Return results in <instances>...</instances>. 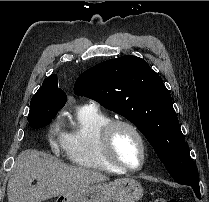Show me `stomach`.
I'll return each mask as SVG.
<instances>
[{
	"instance_id": "stomach-1",
	"label": "stomach",
	"mask_w": 209,
	"mask_h": 202,
	"mask_svg": "<svg viewBox=\"0 0 209 202\" xmlns=\"http://www.w3.org/2000/svg\"><path fill=\"white\" fill-rule=\"evenodd\" d=\"M143 194L144 189L138 181L125 178L60 195L55 202H137Z\"/></svg>"
}]
</instances>
